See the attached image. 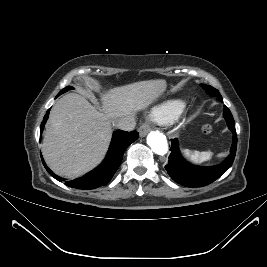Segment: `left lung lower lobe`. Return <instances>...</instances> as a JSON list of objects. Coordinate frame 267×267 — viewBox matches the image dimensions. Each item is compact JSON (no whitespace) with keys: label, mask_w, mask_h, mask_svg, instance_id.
Segmentation results:
<instances>
[{"label":"left lung lower lobe","mask_w":267,"mask_h":267,"mask_svg":"<svg viewBox=\"0 0 267 267\" xmlns=\"http://www.w3.org/2000/svg\"><path fill=\"white\" fill-rule=\"evenodd\" d=\"M202 87L208 94H212L211 86L202 85ZM224 118L226 119L228 128L233 132V141L228 158L216 166L201 167L189 164L180 155L177 139L171 140L172 152L165 169L176 183L187 187L206 186L215 181L230 168L236 154L237 135L233 116L226 106H224Z\"/></svg>","instance_id":"1"}]
</instances>
